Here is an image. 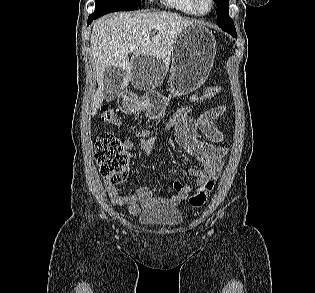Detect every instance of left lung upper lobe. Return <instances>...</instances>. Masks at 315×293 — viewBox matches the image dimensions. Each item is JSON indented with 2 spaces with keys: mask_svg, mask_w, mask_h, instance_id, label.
<instances>
[{
  "mask_svg": "<svg viewBox=\"0 0 315 293\" xmlns=\"http://www.w3.org/2000/svg\"><path fill=\"white\" fill-rule=\"evenodd\" d=\"M217 5L216 14H217V24L218 26L236 37L237 33L233 20L229 16V0H214Z\"/></svg>",
  "mask_w": 315,
  "mask_h": 293,
  "instance_id": "left-lung-upper-lobe-1",
  "label": "left lung upper lobe"
}]
</instances>
